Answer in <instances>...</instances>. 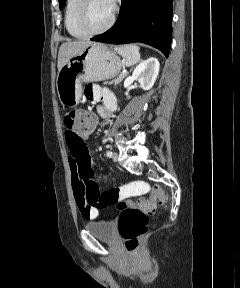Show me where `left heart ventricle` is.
<instances>
[{
  "label": "left heart ventricle",
  "mask_w": 240,
  "mask_h": 288,
  "mask_svg": "<svg viewBox=\"0 0 240 288\" xmlns=\"http://www.w3.org/2000/svg\"><path fill=\"white\" fill-rule=\"evenodd\" d=\"M112 6L106 0H90L87 9V23L91 29L104 26L110 18Z\"/></svg>",
  "instance_id": "b2bd125f"
}]
</instances>
